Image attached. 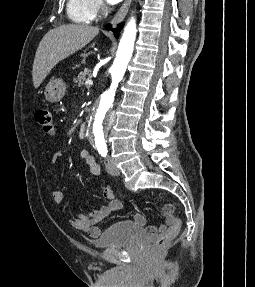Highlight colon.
<instances>
[{"label":"colon","instance_id":"obj_1","mask_svg":"<svg viewBox=\"0 0 255 287\" xmlns=\"http://www.w3.org/2000/svg\"><path fill=\"white\" fill-rule=\"evenodd\" d=\"M35 119L41 128L48 134L55 133V124L53 119V113L51 110L47 108H42L38 110L35 114ZM181 219L179 217L174 216V220L170 227L160 234L155 242V246L157 248H161L173 240L178 234L181 228Z\"/></svg>","mask_w":255,"mask_h":287}]
</instances>
